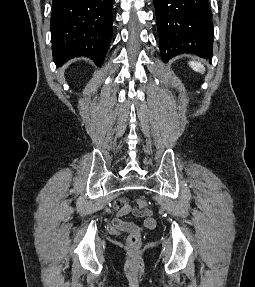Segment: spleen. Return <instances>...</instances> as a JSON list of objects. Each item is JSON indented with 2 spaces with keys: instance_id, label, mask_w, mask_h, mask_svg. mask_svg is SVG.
<instances>
[{
  "instance_id": "spleen-1",
  "label": "spleen",
  "mask_w": 255,
  "mask_h": 287,
  "mask_svg": "<svg viewBox=\"0 0 255 287\" xmlns=\"http://www.w3.org/2000/svg\"><path fill=\"white\" fill-rule=\"evenodd\" d=\"M189 66L193 68L194 72H200V74H204L205 72V68L200 62H189Z\"/></svg>"
}]
</instances>
